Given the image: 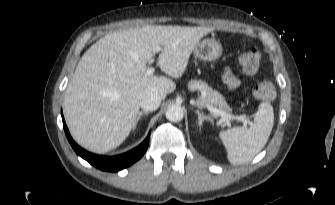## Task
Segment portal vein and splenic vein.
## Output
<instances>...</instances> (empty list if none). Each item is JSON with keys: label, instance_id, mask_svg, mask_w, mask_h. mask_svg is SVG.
<instances>
[{"label": "portal vein and splenic vein", "instance_id": "1", "mask_svg": "<svg viewBox=\"0 0 335 205\" xmlns=\"http://www.w3.org/2000/svg\"><path fill=\"white\" fill-rule=\"evenodd\" d=\"M161 50L160 47H156V52L158 53ZM155 72V68L154 67H149L147 69V74L148 75H153ZM206 108L214 115V116H220L222 118V120L227 124V126L231 125V121L232 120H238V121H242L244 123V125L246 126L247 124H250V121L247 119V117L245 115H240V116H233L231 114H228L212 105H206Z\"/></svg>", "mask_w": 335, "mask_h": 205}]
</instances>
